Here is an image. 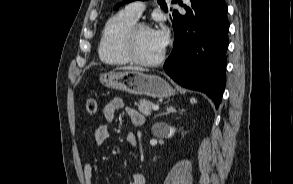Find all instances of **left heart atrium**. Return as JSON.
<instances>
[{"instance_id": "obj_1", "label": "left heart atrium", "mask_w": 293, "mask_h": 184, "mask_svg": "<svg viewBox=\"0 0 293 184\" xmlns=\"http://www.w3.org/2000/svg\"><path fill=\"white\" fill-rule=\"evenodd\" d=\"M153 35L157 44L163 50L168 42V30L165 27H161L153 30Z\"/></svg>"}]
</instances>
